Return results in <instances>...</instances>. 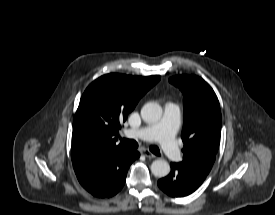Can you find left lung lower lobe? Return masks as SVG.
Wrapping results in <instances>:
<instances>
[{
	"mask_svg": "<svg viewBox=\"0 0 275 215\" xmlns=\"http://www.w3.org/2000/svg\"><path fill=\"white\" fill-rule=\"evenodd\" d=\"M171 172L158 181L159 188L171 197H184L193 193L206 176L186 168L182 163H171Z\"/></svg>",
	"mask_w": 275,
	"mask_h": 215,
	"instance_id": "0a47b994",
	"label": "left lung lower lobe"
}]
</instances>
